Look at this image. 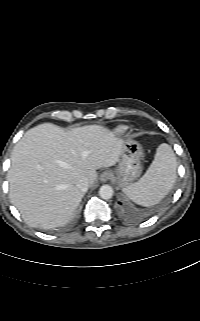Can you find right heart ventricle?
<instances>
[{"label":"right heart ventricle","instance_id":"right-heart-ventricle-1","mask_svg":"<svg viewBox=\"0 0 200 321\" xmlns=\"http://www.w3.org/2000/svg\"><path fill=\"white\" fill-rule=\"evenodd\" d=\"M128 129L127 126L125 125H120V126H117L115 129H114V133L119 135V134H123L124 132H126Z\"/></svg>","mask_w":200,"mask_h":321}]
</instances>
